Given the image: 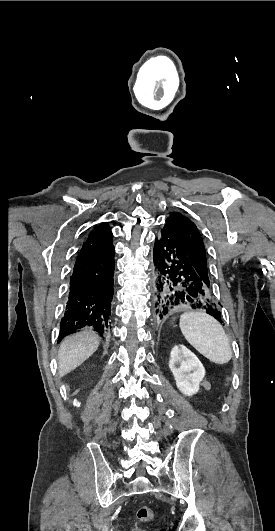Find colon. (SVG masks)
Here are the masks:
<instances>
[{"label": "colon", "instance_id": "obj_1", "mask_svg": "<svg viewBox=\"0 0 275 531\" xmlns=\"http://www.w3.org/2000/svg\"><path fill=\"white\" fill-rule=\"evenodd\" d=\"M153 512L152 509L148 506H143L138 508L133 531H140V524L150 520L152 518Z\"/></svg>", "mask_w": 275, "mask_h": 531}]
</instances>
